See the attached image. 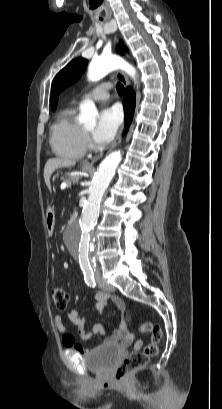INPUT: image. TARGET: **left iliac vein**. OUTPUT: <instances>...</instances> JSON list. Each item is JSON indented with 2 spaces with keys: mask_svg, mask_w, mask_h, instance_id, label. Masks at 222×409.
<instances>
[{
  "mask_svg": "<svg viewBox=\"0 0 222 409\" xmlns=\"http://www.w3.org/2000/svg\"><path fill=\"white\" fill-rule=\"evenodd\" d=\"M96 280H97L99 286L101 287V289H102L104 292H113V291H115L114 286L111 285V284H109V283H108L105 279H103L102 277L98 276V277L96 278Z\"/></svg>",
  "mask_w": 222,
  "mask_h": 409,
  "instance_id": "obj_1",
  "label": "left iliac vein"
}]
</instances>
